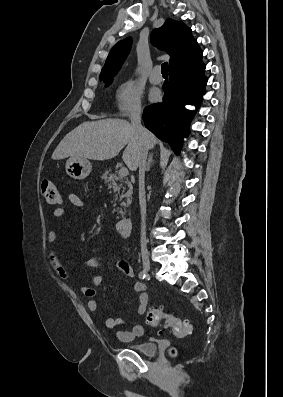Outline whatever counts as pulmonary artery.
Instances as JSON below:
<instances>
[{
	"instance_id": "1",
	"label": "pulmonary artery",
	"mask_w": 283,
	"mask_h": 397,
	"mask_svg": "<svg viewBox=\"0 0 283 397\" xmlns=\"http://www.w3.org/2000/svg\"><path fill=\"white\" fill-rule=\"evenodd\" d=\"M161 68L160 66H155L150 74V81L153 84H159L162 81V77L160 74Z\"/></svg>"
}]
</instances>
